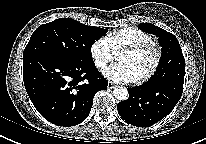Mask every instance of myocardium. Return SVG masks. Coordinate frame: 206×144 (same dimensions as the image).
I'll use <instances>...</instances> for the list:
<instances>
[{
    "label": "myocardium",
    "mask_w": 206,
    "mask_h": 144,
    "mask_svg": "<svg viewBox=\"0 0 206 144\" xmlns=\"http://www.w3.org/2000/svg\"><path fill=\"white\" fill-rule=\"evenodd\" d=\"M147 49H151L153 51L154 54L153 62L149 70L143 76H141L140 78L134 81L136 84H143L149 81L157 72L162 59V49L160 45L154 41H147V42L138 43L134 45H128L119 51V54L120 53L135 54V53H140Z\"/></svg>",
    "instance_id": "1"
}]
</instances>
